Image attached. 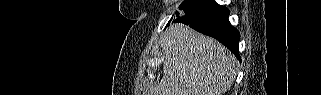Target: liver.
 Returning a JSON list of instances; mask_svg holds the SVG:
<instances>
[{"label": "liver", "mask_w": 321, "mask_h": 95, "mask_svg": "<svg viewBox=\"0 0 321 95\" xmlns=\"http://www.w3.org/2000/svg\"><path fill=\"white\" fill-rule=\"evenodd\" d=\"M161 46L164 75L148 95H223L231 88L236 58L215 39L174 24Z\"/></svg>", "instance_id": "liver-1"}]
</instances>
